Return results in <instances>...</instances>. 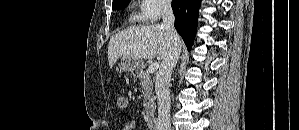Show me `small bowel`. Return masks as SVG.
Masks as SVG:
<instances>
[{
	"mask_svg": "<svg viewBox=\"0 0 299 130\" xmlns=\"http://www.w3.org/2000/svg\"><path fill=\"white\" fill-rule=\"evenodd\" d=\"M136 128V122L130 121L123 126L121 130H134Z\"/></svg>",
	"mask_w": 299,
	"mask_h": 130,
	"instance_id": "c3829d8e",
	"label": "small bowel"
}]
</instances>
